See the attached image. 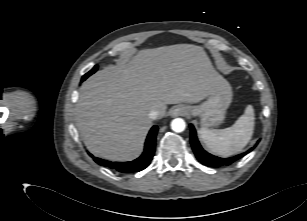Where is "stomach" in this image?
Returning a JSON list of instances; mask_svg holds the SVG:
<instances>
[{"label": "stomach", "instance_id": "obj_1", "mask_svg": "<svg viewBox=\"0 0 307 221\" xmlns=\"http://www.w3.org/2000/svg\"><path fill=\"white\" fill-rule=\"evenodd\" d=\"M232 96L230 84L222 80L204 102L188 106V109L191 115L200 117L202 127L217 126L224 121Z\"/></svg>", "mask_w": 307, "mask_h": 221}]
</instances>
